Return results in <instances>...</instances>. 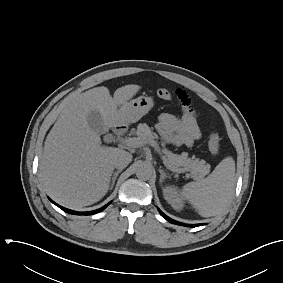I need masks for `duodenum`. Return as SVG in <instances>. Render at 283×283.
<instances>
[{"label":"duodenum","mask_w":283,"mask_h":283,"mask_svg":"<svg viewBox=\"0 0 283 283\" xmlns=\"http://www.w3.org/2000/svg\"><path fill=\"white\" fill-rule=\"evenodd\" d=\"M114 132H115V134H116L117 136L121 137V136H123V135L125 134V132H126V127L123 126V125H116V126L114 127Z\"/></svg>","instance_id":"duodenum-1"}]
</instances>
